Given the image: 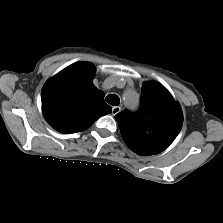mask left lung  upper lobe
<instances>
[{
  "label": "left lung upper lobe",
  "instance_id": "left-lung-upper-lobe-1",
  "mask_svg": "<svg viewBox=\"0 0 223 223\" xmlns=\"http://www.w3.org/2000/svg\"><path fill=\"white\" fill-rule=\"evenodd\" d=\"M126 145L134 152L150 156L165 150L182 127L180 106L158 82H145L141 90V110H126L115 116Z\"/></svg>",
  "mask_w": 223,
  "mask_h": 223
}]
</instances>
